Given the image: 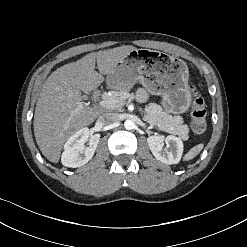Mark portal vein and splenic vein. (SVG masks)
I'll use <instances>...</instances> for the list:
<instances>
[{
	"instance_id": "obj_1",
	"label": "portal vein and splenic vein",
	"mask_w": 247,
	"mask_h": 247,
	"mask_svg": "<svg viewBox=\"0 0 247 247\" xmlns=\"http://www.w3.org/2000/svg\"><path fill=\"white\" fill-rule=\"evenodd\" d=\"M99 105L104 108L108 109H116L122 105V103L118 100H113V99H104L99 102Z\"/></svg>"
}]
</instances>
